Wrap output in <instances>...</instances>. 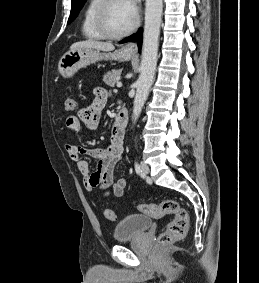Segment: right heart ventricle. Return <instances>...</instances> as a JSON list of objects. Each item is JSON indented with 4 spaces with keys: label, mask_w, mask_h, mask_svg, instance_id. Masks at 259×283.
I'll return each mask as SVG.
<instances>
[{
    "label": "right heart ventricle",
    "mask_w": 259,
    "mask_h": 283,
    "mask_svg": "<svg viewBox=\"0 0 259 283\" xmlns=\"http://www.w3.org/2000/svg\"><path fill=\"white\" fill-rule=\"evenodd\" d=\"M101 0H89L83 14L82 33L87 39L98 40L103 39L95 24V15Z\"/></svg>",
    "instance_id": "obj_1"
}]
</instances>
